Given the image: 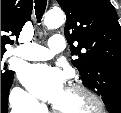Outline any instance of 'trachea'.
Listing matches in <instances>:
<instances>
[{
    "instance_id": "trachea-1",
    "label": "trachea",
    "mask_w": 121,
    "mask_h": 113,
    "mask_svg": "<svg viewBox=\"0 0 121 113\" xmlns=\"http://www.w3.org/2000/svg\"><path fill=\"white\" fill-rule=\"evenodd\" d=\"M47 0H35V12L37 20L40 21L45 12Z\"/></svg>"
}]
</instances>
